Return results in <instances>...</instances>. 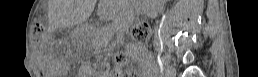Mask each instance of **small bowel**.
I'll list each match as a JSON object with an SVG mask.
<instances>
[{
	"mask_svg": "<svg viewBox=\"0 0 258 77\" xmlns=\"http://www.w3.org/2000/svg\"><path fill=\"white\" fill-rule=\"evenodd\" d=\"M136 50V57L138 59H142L143 55L141 53V49L139 47H136L135 48ZM151 67V61L150 60H145L142 62V69L145 70V71H148Z\"/></svg>",
	"mask_w": 258,
	"mask_h": 77,
	"instance_id": "small-bowel-1",
	"label": "small bowel"
}]
</instances>
